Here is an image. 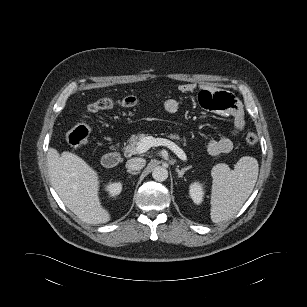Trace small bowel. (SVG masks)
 I'll return each mask as SVG.
<instances>
[{
  "label": "small bowel",
  "mask_w": 307,
  "mask_h": 307,
  "mask_svg": "<svg viewBox=\"0 0 307 307\" xmlns=\"http://www.w3.org/2000/svg\"><path fill=\"white\" fill-rule=\"evenodd\" d=\"M201 89L198 100L200 105L208 110L216 111L221 115L233 118V127L231 136L213 139L207 145V150L212 156H219L232 151L234 142L233 137L237 136L244 128L245 121L243 113L236 98L225 91L214 92L209 86L198 87L193 83H184L179 85L180 93L188 94ZM164 110L168 113H176L179 109V102L175 98L165 100L163 104Z\"/></svg>",
  "instance_id": "obj_1"
}]
</instances>
